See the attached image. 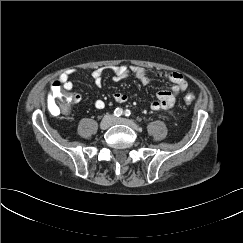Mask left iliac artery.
<instances>
[{
  "instance_id": "1",
  "label": "left iliac artery",
  "mask_w": 243,
  "mask_h": 243,
  "mask_svg": "<svg viewBox=\"0 0 243 243\" xmlns=\"http://www.w3.org/2000/svg\"><path fill=\"white\" fill-rule=\"evenodd\" d=\"M130 114H131L130 110H128V109H127V110H125V112H124V115H125V116H127V117H128V116H130Z\"/></svg>"
}]
</instances>
